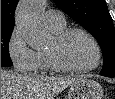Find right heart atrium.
Masks as SVG:
<instances>
[{"mask_svg":"<svg viewBox=\"0 0 115 99\" xmlns=\"http://www.w3.org/2000/svg\"><path fill=\"white\" fill-rule=\"evenodd\" d=\"M7 51L17 70L22 72L36 70L38 63L37 52L28 46L18 27H15L9 36Z\"/></svg>","mask_w":115,"mask_h":99,"instance_id":"1","label":"right heart atrium"}]
</instances>
